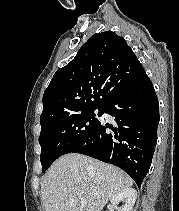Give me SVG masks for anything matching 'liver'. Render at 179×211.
Segmentation results:
<instances>
[{
	"label": "liver",
	"mask_w": 179,
	"mask_h": 211,
	"mask_svg": "<svg viewBox=\"0 0 179 211\" xmlns=\"http://www.w3.org/2000/svg\"><path fill=\"white\" fill-rule=\"evenodd\" d=\"M133 180L122 170L82 154H67L49 168L41 186L45 211H102ZM87 202L81 205L80 199Z\"/></svg>",
	"instance_id": "obj_1"
}]
</instances>
